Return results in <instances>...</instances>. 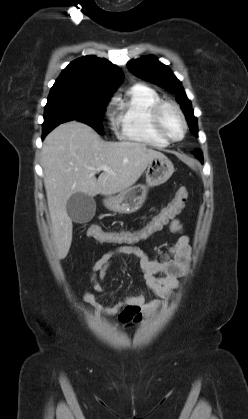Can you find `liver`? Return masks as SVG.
I'll return each instance as SVG.
<instances>
[{"mask_svg":"<svg viewBox=\"0 0 248 419\" xmlns=\"http://www.w3.org/2000/svg\"><path fill=\"white\" fill-rule=\"evenodd\" d=\"M165 157L137 142H105L88 125L71 121L59 125L44 140L41 166L57 256L64 259L72 242V220L66 206L77 192L112 195L137 182L149 162ZM106 165L112 171L96 169Z\"/></svg>","mask_w":248,"mask_h":419,"instance_id":"liver-1","label":"liver"}]
</instances>
